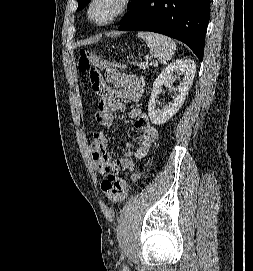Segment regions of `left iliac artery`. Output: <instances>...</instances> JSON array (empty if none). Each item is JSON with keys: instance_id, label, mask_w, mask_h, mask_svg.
<instances>
[{"instance_id": "obj_1", "label": "left iliac artery", "mask_w": 253, "mask_h": 271, "mask_svg": "<svg viewBox=\"0 0 253 271\" xmlns=\"http://www.w3.org/2000/svg\"><path fill=\"white\" fill-rule=\"evenodd\" d=\"M123 271H129V270L127 269V267H125Z\"/></svg>"}]
</instances>
